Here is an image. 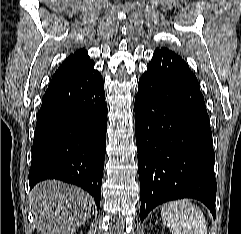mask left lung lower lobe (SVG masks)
I'll return each mask as SVG.
<instances>
[{
    "label": "left lung lower lobe",
    "mask_w": 241,
    "mask_h": 234,
    "mask_svg": "<svg viewBox=\"0 0 241 234\" xmlns=\"http://www.w3.org/2000/svg\"><path fill=\"white\" fill-rule=\"evenodd\" d=\"M135 132L141 222L157 205L184 197L215 218V154L199 83L174 52L156 49L138 84Z\"/></svg>",
    "instance_id": "1"
}]
</instances>
